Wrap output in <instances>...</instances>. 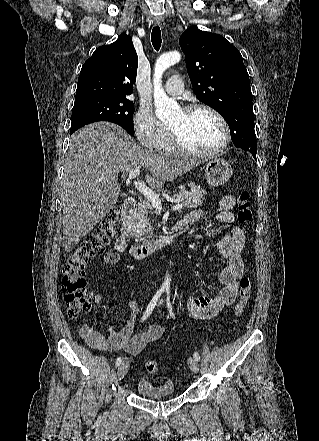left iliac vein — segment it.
Segmentation results:
<instances>
[{
	"label": "left iliac vein",
	"mask_w": 319,
	"mask_h": 441,
	"mask_svg": "<svg viewBox=\"0 0 319 441\" xmlns=\"http://www.w3.org/2000/svg\"><path fill=\"white\" fill-rule=\"evenodd\" d=\"M188 366L195 373H197L198 370H199L198 361L195 358H193V357H189L188 358Z\"/></svg>",
	"instance_id": "4c4485c4"
}]
</instances>
